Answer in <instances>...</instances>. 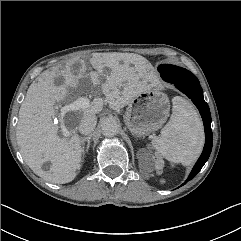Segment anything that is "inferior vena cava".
<instances>
[{
  "label": "inferior vena cava",
  "mask_w": 241,
  "mask_h": 241,
  "mask_svg": "<svg viewBox=\"0 0 241 241\" xmlns=\"http://www.w3.org/2000/svg\"><path fill=\"white\" fill-rule=\"evenodd\" d=\"M96 124V116L90 113H85L79 123L78 130L81 134L88 135L94 131Z\"/></svg>",
  "instance_id": "602c4592"
}]
</instances>
